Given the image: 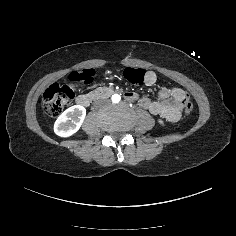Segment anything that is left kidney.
I'll return each mask as SVG.
<instances>
[{
    "label": "left kidney",
    "instance_id": "5707ae66",
    "mask_svg": "<svg viewBox=\"0 0 236 236\" xmlns=\"http://www.w3.org/2000/svg\"><path fill=\"white\" fill-rule=\"evenodd\" d=\"M157 123H158V125L161 126L162 128H164V127L166 126L164 120H163L161 117H158V118H157Z\"/></svg>",
    "mask_w": 236,
    "mask_h": 236
}]
</instances>
